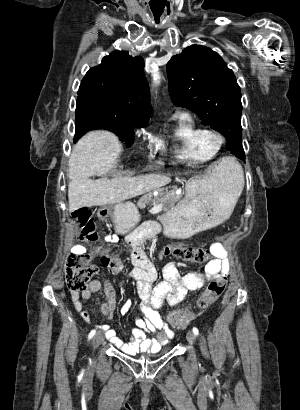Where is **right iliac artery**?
I'll list each match as a JSON object with an SVG mask.
<instances>
[{
  "mask_svg": "<svg viewBox=\"0 0 300 410\" xmlns=\"http://www.w3.org/2000/svg\"><path fill=\"white\" fill-rule=\"evenodd\" d=\"M95 333H96V330L94 329V330H91V332L89 333V335H88V339H91L94 335H95Z\"/></svg>",
  "mask_w": 300,
  "mask_h": 410,
  "instance_id": "right-iliac-artery-1",
  "label": "right iliac artery"
}]
</instances>
